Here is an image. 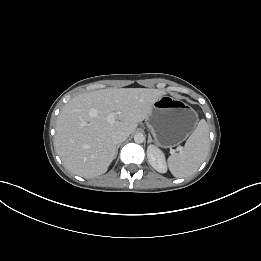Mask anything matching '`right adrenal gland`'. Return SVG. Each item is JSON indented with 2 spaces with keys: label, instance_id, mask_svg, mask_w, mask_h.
Wrapping results in <instances>:
<instances>
[{
  "label": "right adrenal gland",
  "instance_id": "obj_1",
  "mask_svg": "<svg viewBox=\"0 0 261 261\" xmlns=\"http://www.w3.org/2000/svg\"><path fill=\"white\" fill-rule=\"evenodd\" d=\"M119 147H120V146L118 145L117 148H116L115 158H116V155H117V152H118Z\"/></svg>",
  "mask_w": 261,
  "mask_h": 261
}]
</instances>
